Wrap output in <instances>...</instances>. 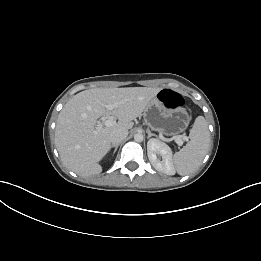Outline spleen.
Returning <instances> with one entry per match:
<instances>
[{"instance_id": "3e777b00", "label": "spleen", "mask_w": 261, "mask_h": 261, "mask_svg": "<svg viewBox=\"0 0 261 261\" xmlns=\"http://www.w3.org/2000/svg\"><path fill=\"white\" fill-rule=\"evenodd\" d=\"M190 141L173 156L172 163L179 175L196 171L209 148L208 124L203 116H198L189 134Z\"/></svg>"}]
</instances>
